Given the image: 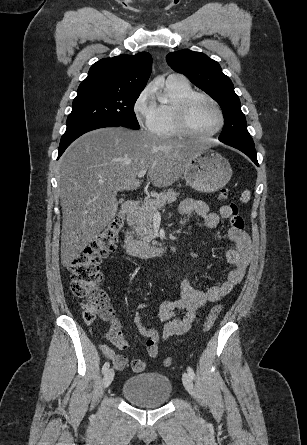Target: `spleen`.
I'll use <instances>...</instances> for the list:
<instances>
[{
  "label": "spleen",
  "mask_w": 307,
  "mask_h": 445,
  "mask_svg": "<svg viewBox=\"0 0 307 445\" xmlns=\"http://www.w3.org/2000/svg\"><path fill=\"white\" fill-rule=\"evenodd\" d=\"M251 192L250 190H244L241 194V200L242 202H248L250 200Z\"/></svg>",
  "instance_id": "1"
}]
</instances>
